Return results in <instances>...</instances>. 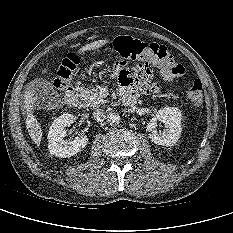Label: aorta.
I'll use <instances>...</instances> for the list:
<instances>
[{
    "label": "aorta",
    "mask_w": 233,
    "mask_h": 233,
    "mask_svg": "<svg viewBox=\"0 0 233 233\" xmlns=\"http://www.w3.org/2000/svg\"><path fill=\"white\" fill-rule=\"evenodd\" d=\"M107 121L110 125H117L120 122V116L117 113H110L107 116Z\"/></svg>",
    "instance_id": "762f6f07"
}]
</instances>
